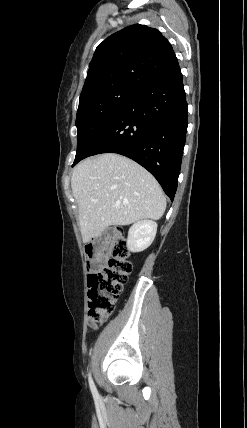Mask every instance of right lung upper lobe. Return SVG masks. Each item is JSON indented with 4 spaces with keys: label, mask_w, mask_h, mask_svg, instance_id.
Masks as SVG:
<instances>
[{
    "label": "right lung upper lobe",
    "mask_w": 247,
    "mask_h": 428,
    "mask_svg": "<svg viewBox=\"0 0 247 428\" xmlns=\"http://www.w3.org/2000/svg\"><path fill=\"white\" fill-rule=\"evenodd\" d=\"M176 63L171 44L159 30L129 26L98 45L81 95L113 86L141 90Z\"/></svg>",
    "instance_id": "1"
}]
</instances>
